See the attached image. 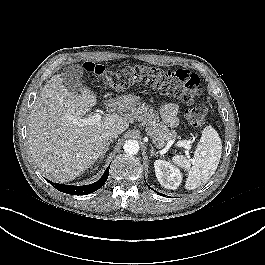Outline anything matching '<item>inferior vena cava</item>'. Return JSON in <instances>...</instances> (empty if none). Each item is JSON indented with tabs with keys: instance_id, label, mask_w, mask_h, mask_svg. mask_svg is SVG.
Here are the masks:
<instances>
[{
	"instance_id": "inferior-vena-cava-1",
	"label": "inferior vena cava",
	"mask_w": 265,
	"mask_h": 265,
	"mask_svg": "<svg viewBox=\"0 0 265 265\" xmlns=\"http://www.w3.org/2000/svg\"><path fill=\"white\" fill-rule=\"evenodd\" d=\"M105 140H113L116 139L118 137V133L115 131H107L106 133H104L103 135Z\"/></svg>"
}]
</instances>
